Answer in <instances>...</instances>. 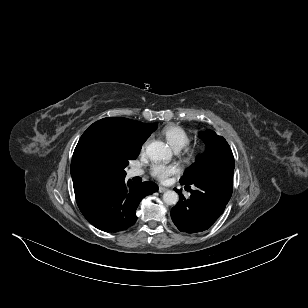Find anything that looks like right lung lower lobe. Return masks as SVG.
I'll use <instances>...</instances> for the list:
<instances>
[{
	"instance_id": "obj_1",
	"label": "right lung lower lobe",
	"mask_w": 308,
	"mask_h": 308,
	"mask_svg": "<svg viewBox=\"0 0 308 308\" xmlns=\"http://www.w3.org/2000/svg\"><path fill=\"white\" fill-rule=\"evenodd\" d=\"M157 190L153 182L134 184L129 180L126 184L122 179L76 201L93 226L105 232H118L136 222L135 212L141 199Z\"/></svg>"
}]
</instances>
